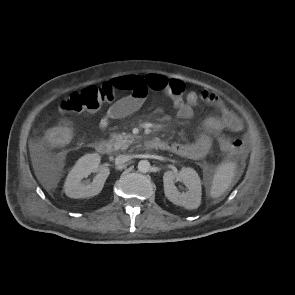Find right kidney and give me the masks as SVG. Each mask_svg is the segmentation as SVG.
<instances>
[{
  "label": "right kidney",
  "instance_id": "1",
  "mask_svg": "<svg viewBox=\"0 0 295 295\" xmlns=\"http://www.w3.org/2000/svg\"><path fill=\"white\" fill-rule=\"evenodd\" d=\"M100 156L96 153L81 157L69 172L65 185V194L70 198H88L99 194L104 186L110 170L100 166ZM92 172L97 173L93 181H82Z\"/></svg>",
  "mask_w": 295,
  "mask_h": 295
}]
</instances>
